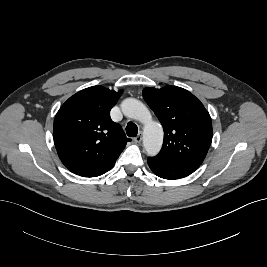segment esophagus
<instances>
[{"label":"esophagus","mask_w":267,"mask_h":267,"mask_svg":"<svg viewBox=\"0 0 267 267\" xmlns=\"http://www.w3.org/2000/svg\"><path fill=\"white\" fill-rule=\"evenodd\" d=\"M141 140H142V136H141V133H139V134L134 138V141H135L136 143H140Z\"/></svg>","instance_id":"1"}]
</instances>
